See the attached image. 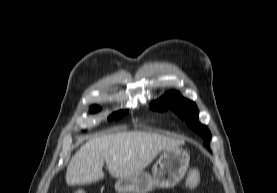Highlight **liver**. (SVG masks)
<instances>
[{"mask_svg":"<svg viewBox=\"0 0 277 193\" xmlns=\"http://www.w3.org/2000/svg\"><path fill=\"white\" fill-rule=\"evenodd\" d=\"M184 144V140L145 131L101 134L88 140L72 157L66 171L68 185L88 184L104 178V162L111 176L137 174L166 148Z\"/></svg>","mask_w":277,"mask_h":193,"instance_id":"obj_1","label":"liver"}]
</instances>
